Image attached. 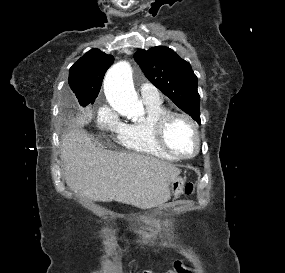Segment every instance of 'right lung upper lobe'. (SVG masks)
<instances>
[{
	"label": "right lung upper lobe",
	"mask_w": 285,
	"mask_h": 273,
	"mask_svg": "<svg viewBox=\"0 0 285 273\" xmlns=\"http://www.w3.org/2000/svg\"><path fill=\"white\" fill-rule=\"evenodd\" d=\"M113 61V56L92 49L70 68L68 82L81 105L94 102L104 74Z\"/></svg>",
	"instance_id": "cb5924a9"
}]
</instances>
